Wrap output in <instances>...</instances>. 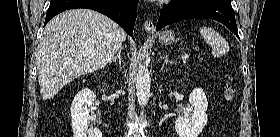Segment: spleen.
<instances>
[{
	"label": "spleen",
	"instance_id": "3e777b00",
	"mask_svg": "<svg viewBox=\"0 0 280 137\" xmlns=\"http://www.w3.org/2000/svg\"><path fill=\"white\" fill-rule=\"evenodd\" d=\"M200 34L206 43L212 46V55L214 57H222L229 52V44L221 34L211 27H201Z\"/></svg>",
	"mask_w": 280,
	"mask_h": 137
}]
</instances>
